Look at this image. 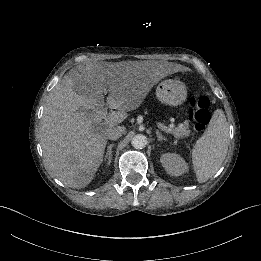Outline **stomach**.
Segmentation results:
<instances>
[{"label":"stomach","mask_w":261,"mask_h":261,"mask_svg":"<svg viewBox=\"0 0 261 261\" xmlns=\"http://www.w3.org/2000/svg\"><path fill=\"white\" fill-rule=\"evenodd\" d=\"M156 96L162 103L178 106L185 102L187 98V88L185 84L179 80H165L157 86Z\"/></svg>","instance_id":"obj_1"}]
</instances>
